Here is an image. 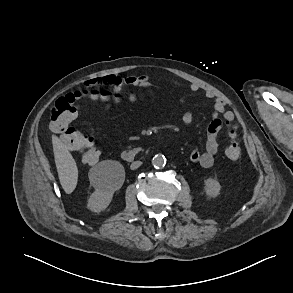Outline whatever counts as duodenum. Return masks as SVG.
<instances>
[{
    "instance_id": "duodenum-1",
    "label": "duodenum",
    "mask_w": 293,
    "mask_h": 293,
    "mask_svg": "<svg viewBox=\"0 0 293 293\" xmlns=\"http://www.w3.org/2000/svg\"><path fill=\"white\" fill-rule=\"evenodd\" d=\"M140 152H141L140 148H133V149L124 150L121 153V158L124 161L131 162L140 154Z\"/></svg>"
}]
</instances>
